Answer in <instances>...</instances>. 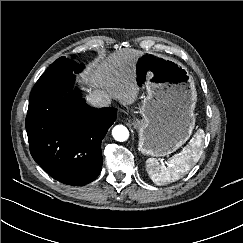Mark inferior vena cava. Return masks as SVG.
Here are the masks:
<instances>
[{
	"label": "inferior vena cava",
	"mask_w": 243,
	"mask_h": 243,
	"mask_svg": "<svg viewBox=\"0 0 243 243\" xmlns=\"http://www.w3.org/2000/svg\"><path fill=\"white\" fill-rule=\"evenodd\" d=\"M88 102L97 108L108 107L111 104V96L104 90H94L87 97Z\"/></svg>",
	"instance_id": "obj_1"
}]
</instances>
